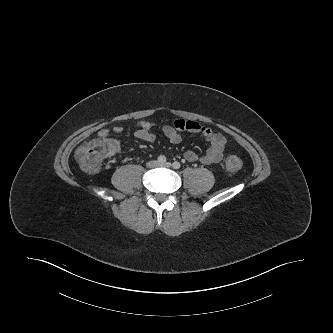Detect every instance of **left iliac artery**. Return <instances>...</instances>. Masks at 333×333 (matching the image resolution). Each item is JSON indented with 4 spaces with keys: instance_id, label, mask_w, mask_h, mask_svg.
I'll list each match as a JSON object with an SVG mask.
<instances>
[{
    "instance_id": "left-iliac-artery-1",
    "label": "left iliac artery",
    "mask_w": 333,
    "mask_h": 333,
    "mask_svg": "<svg viewBox=\"0 0 333 333\" xmlns=\"http://www.w3.org/2000/svg\"><path fill=\"white\" fill-rule=\"evenodd\" d=\"M173 168L174 169H179L181 167V164L177 161H175L173 164H172Z\"/></svg>"
}]
</instances>
